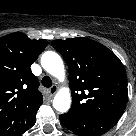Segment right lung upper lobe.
<instances>
[{
    "instance_id": "obj_1",
    "label": "right lung upper lobe",
    "mask_w": 136,
    "mask_h": 136,
    "mask_svg": "<svg viewBox=\"0 0 136 136\" xmlns=\"http://www.w3.org/2000/svg\"><path fill=\"white\" fill-rule=\"evenodd\" d=\"M47 44L18 32L0 38V136H19L34 125L43 96L30 67Z\"/></svg>"
}]
</instances>
